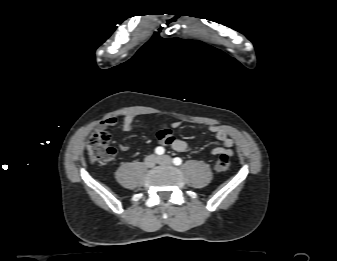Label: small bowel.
<instances>
[{"mask_svg": "<svg viewBox=\"0 0 337 261\" xmlns=\"http://www.w3.org/2000/svg\"><path fill=\"white\" fill-rule=\"evenodd\" d=\"M118 119L114 116L109 117L103 121H101L98 125L99 129H106L108 127L116 125ZM136 125V116L133 114H127L123 117L122 120V129L124 131H131L135 128ZM180 122H173L167 127L159 129L156 132V139L158 143L162 146L171 147L173 150L177 152H183L187 149V143L176 137L175 129L178 128ZM209 131L215 135V137L220 141L221 146L215 147L212 149L211 153L213 155H221L223 153H227L229 155L232 154L233 140L229 137L227 131L220 126L210 125L208 127ZM119 150L121 152H126L128 147L126 145H120Z\"/></svg>", "mask_w": 337, "mask_h": 261, "instance_id": "small-bowel-1", "label": "small bowel"}]
</instances>
